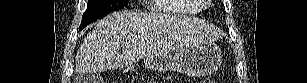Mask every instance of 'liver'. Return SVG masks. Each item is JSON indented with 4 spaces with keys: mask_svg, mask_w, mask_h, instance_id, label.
Segmentation results:
<instances>
[{
    "mask_svg": "<svg viewBox=\"0 0 307 83\" xmlns=\"http://www.w3.org/2000/svg\"><path fill=\"white\" fill-rule=\"evenodd\" d=\"M221 35L212 24L190 17L117 12L96 22L76 55V73L86 75L131 65L173 48L212 42ZM122 52H119V49Z\"/></svg>",
    "mask_w": 307,
    "mask_h": 83,
    "instance_id": "1",
    "label": "liver"
}]
</instances>
